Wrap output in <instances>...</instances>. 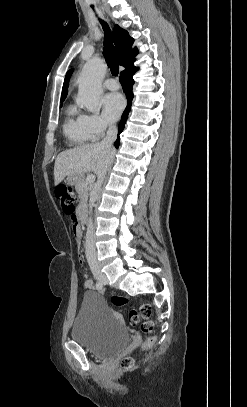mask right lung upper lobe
Returning <instances> with one entry per match:
<instances>
[{"label": "right lung upper lobe", "instance_id": "obj_1", "mask_svg": "<svg viewBox=\"0 0 247 407\" xmlns=\"http://www.w3.org/2000/svg\"><path fill=\"white\" fill-rule=\"evenodd\" d=\"M114 44L118 52V62L120 65L124 66L125 69L132 66L135 61V56L138 54L136 48L132 49L133 38H131L127 31L115 25L113 30ZM72 70L68 71L62 90L61 101H64L67 95L69 78L71 76Z\"/></svg>", "mask_w": 247, "mask_h": 407}]
</instances>
